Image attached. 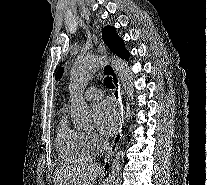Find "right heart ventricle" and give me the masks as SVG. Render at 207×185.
Here are the masks:
<instances>
[{
	"instance_id": "right-heart-ventricle-1",
	"label": "right heart ventricle",
	"mask_w": 207,
	"mask_h": 185,
	"mask_svg": "<svg viewBox=\"0 0 207 185\" xmlns=\"http://www.w3.org/2000/svg\"><path fill=\"white\" fill-rule=\"evenodd\" d=\"M57 143L61 155L70 163L90 162L98 151V144L86 132L71 128L66 118L61 121Z\"/></svg>"
}]
</instances>
